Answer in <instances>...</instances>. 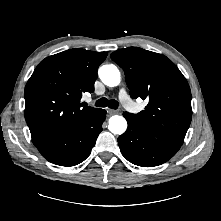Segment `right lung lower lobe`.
Masks as SVG:
<instances>
[{
  "label": "right lung lower lobe",
  "instance_id": "obj_1",
  "mask_svg": "<svg viewBox=\"0 0 221 221\" xmlns=\"http://www.w3.org/2000/svg\"><path fill=\"white\" fill-rule=\"evenodd\" d=\"M106 118V111H100L84 118L71 132L65 136L47 141L37 147L39 152L49 162L61 166H74L83 162L91 153L102 123Z\"/></svg>",
  "mask_w": 221,
  "mask_h": 221
}]
</instances>
